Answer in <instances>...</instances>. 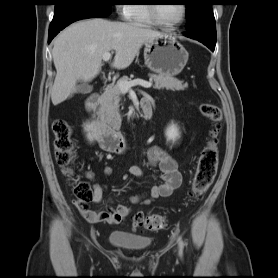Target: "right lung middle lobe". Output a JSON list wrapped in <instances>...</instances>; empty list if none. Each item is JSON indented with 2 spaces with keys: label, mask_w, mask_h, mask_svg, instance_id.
Wrapping results in <instances>:
<instances>
[{
  "label": "right lung middle lobe",
  "mask_w": 278,
  "mask_h": 278,
  "mask_svg": "<svg viewBox=\"0 0 278 278\" xmlns=\"http://www.w3.org/2000/svg\"><path fill=\"white\" fill-rule=\"evenodd\" d=\"M52 24L71 14H89L106 17L111 13L112 0H54Z\"/></svg>",
  "instance_id": "obj_1"
}]
</instances>
